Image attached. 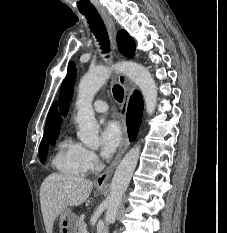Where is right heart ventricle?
I'll list each match as a JSON object with an SVG mask.
<instances>
[{
  "mask_svg": "<svg viewBox=\"0 0 227 233\" xmlns=\"http://www.w3.org/2000/svg\"><path fill=\"white\" fill-rule=\"evenodd\" d=\"M53 165L65 175L84 176L88 171L84 163V147L71 138L63 139L58 144Z\"/></svg>",
  "mask_w": 227,
  "mask_h": 233,
  "instance_id": "1",
  "label": "right heart ventricle"
}]
</instances>
